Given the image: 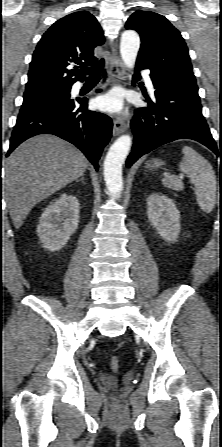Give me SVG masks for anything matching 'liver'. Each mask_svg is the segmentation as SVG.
<instances>
[{"mask_svg": "<svg viewBox=\"0 0 222 447\" xmlns=\"http://www.w3.org/2000/svg\"><path fill=\"white\" fill-rule=\"evenodd\" d=\"M87 167L80 150L53 135L23 142L5 163V198L15 228L38 202L78 179Z\"/></svg>", "mask_w": 222, "mask_h": 447, "instance_id": "1", "label": "liver"}]
</instances>
